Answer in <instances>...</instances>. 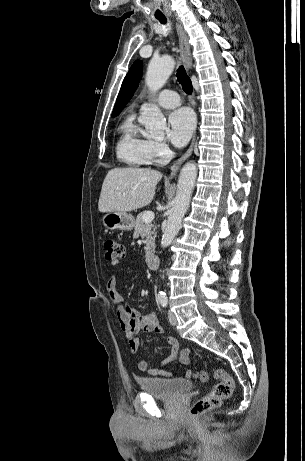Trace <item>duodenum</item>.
<instances>
[{
  "instance_id": "obj_1",
  "label": "duodenum",
  "mask_w": 305,
  "mask_h": 461,
  "mask_svg": "<svg viewBox=\"0 0 305 461\" xmlns=\"http://www.w3.org/2000/svg\"><path fill=\"white\" fill-rule=\"evenodd\" d=\"M158 257L154 251H149L146 256V265L149 269H155L158 266Z\"/></svg>"
}]
</instances>
